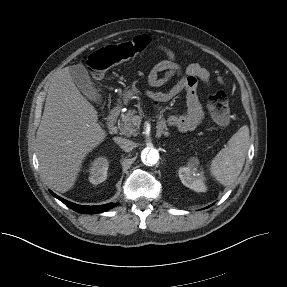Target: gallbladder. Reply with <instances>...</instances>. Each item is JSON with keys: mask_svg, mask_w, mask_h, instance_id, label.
Here are the masks:
<instances>
[{"mask_svg": "<svg viewBox=\"0 0 287 287\" xmlns=\"http://www.w3.org/2000/svg\"><path fill=\"white\" fill-rule=\"evenodd\" d=\"M69 71L74 83L83 95L90 101L100 104L102 102L101 94L96 88L85 66L83 64H76L70 66Z\"/></svg>", "mask_w": 287, "mask_h": 287, "instance_id": "1", "label": "gallbladder"}]
</instances>
